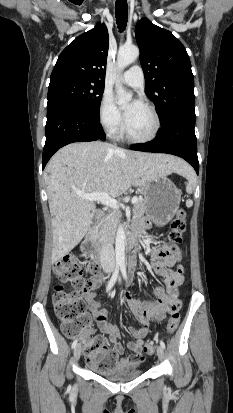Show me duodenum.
I'll return each mask as SVG.
<instances>
[{"label":"duodenum","mask_w":233,"mask_h":413,"mask_svg":"<svg viewBox=\"0 0 233 413\" xmlns=\"http://www.w3.org/2000/svg\"><path fill=\"white\" fill-rule=\"evenodd\" d=\"M94 230L89 229L81 243V250L91 259L99 261L101 259V248L94 240ZM127 245L131 251V255L128 261L129 267L134 269L136 267V252H137V239L135 236L130 235L127 238Z\"/></svg>","instance_id":"410a0bca"}]
</instances>
